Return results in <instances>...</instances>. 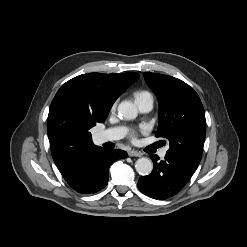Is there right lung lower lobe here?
<instances>
[{"instance_id":"right-lung-lower-lobe-1","label":"right lung lower lobe","mask_w":247,"mask_h":247,"mask_svg":"<svg viewBox=\"0 0 247 247\" xmlns=\"http://www.w3.org/2000/svg\"><path fill=\"white\" fill-rule=\"evenodd\" d=\"M126 157L125 151H109L97 146L76 157L61 174L77 192L96 193L108 183L111 163Z\"/></svg>"}]
</instances>
